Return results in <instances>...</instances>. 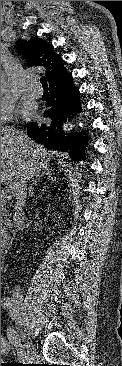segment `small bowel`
<instances>
[{
  "label": "small bowel",
  "mask_w": 122,
  "mask_h": 366,
  "mask_svg": "<svg viewBox=\"0 0 122 366\" xmlns=\"http://www.w3.org/2000/svg\"><path fill=\"white\" fill-rule=\"evenodd\" d=\"M5 351H6V343L1 342V354L4 353Z\"/></svg>",
  "instance_id": "obj_1"
}]
</instances>
